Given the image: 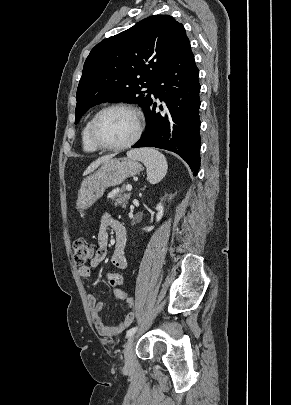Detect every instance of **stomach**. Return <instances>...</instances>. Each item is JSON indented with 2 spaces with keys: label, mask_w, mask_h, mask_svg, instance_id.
<instances>
[{
  "label": "stomach",
  "mask_w": 291,
  "mask_h": 405,
  "mask_svg": "<svg viewBox=\"0 0 291 405\" xmlns=\"http://www.w3.org/2000/svg\"><path fill=\"white\" fill-rule=\"evenodd\" d=\"M141 169V165L129 157L107 160L93 175L88 176L81 183L76 208L84 210L91 207L102 197L107 188L120 185L127 178L138 174Z\"/></svg>",
  "instance_id": "obj_1"
}]
</instances>
